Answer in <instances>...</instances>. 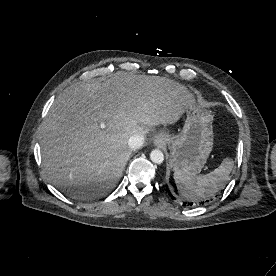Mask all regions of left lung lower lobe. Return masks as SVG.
<instances>
[{"label":"left lung lower lobe","mask_w":276,"mask_h":276,"mask_svg":"<svg viewBox=\"0 0 276 276\" xmlns=\"http://www.w3.org/2000/svg\"><path fill=\"white\" fill-rule=\"evenodd\" d=\"M166 188H167V191H168L170 197H171L172 199H174V197L172 196L171 192L168 190V186H166ZM210 197H211V196H210ZM208 198H209V197H208ZM205 199H206V198H205ZM207 201H208V200H207ZM183 205L185 206L186 203H184ZM192 205H193V203H187V206H192Z\"/></svg>","instance_id":"obj_1"}]
</instances>
